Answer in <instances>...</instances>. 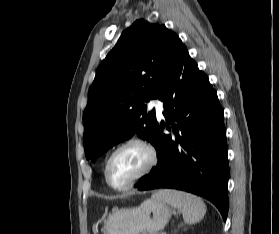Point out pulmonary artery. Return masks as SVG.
<instances>
[{"label": "pulmonary artery", "instance_id": "obj_1", "mask_svg": "<svg viewBox=\"0 0 279 234\" xmlns=\"http://www.w3.org/2000/svg\"><path fill=\"white\" fill-rule=\"evenodd\" d=\"M149 107L156 110L158 117H162L164 113L163 103L158 99H153L149 102Z\"/></svg>", "mask_w": 279, "mask_h": 234}]
</instances>
